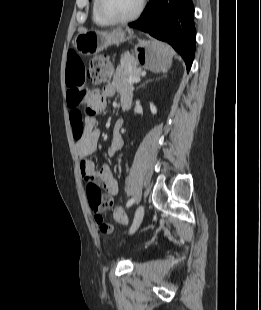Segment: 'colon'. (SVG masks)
<instances>
[{
	"instance_id": "colon-1",
	"label": "colon",
	"mask_w": 261,
	"mask_h": 310,
	"mask_svg": "<svg viewBox=\"0 0 261 310\" xmlns=\"http://www.w3.org/2000/svg\"><path fill=\"white\" fill-rule=\"evenodd\" d=\"M112 76V67L109 59L104 55L95 56L91 60V67L88 72V77L93 83H101L108 80ZM88 199L92 208H96L105 204L100 189L90 184L88 187ZM114 219L121 223L127 222V217L121 206H117L113 211ZM95 221L102 233L108 234L112 231V225L104 221L101 215H95Z\"/></svg>"
}]
</instances>
